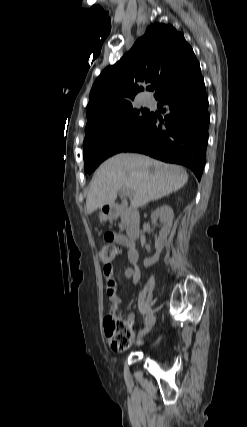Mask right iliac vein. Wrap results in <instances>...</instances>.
<instances>
[{"instance_id": "obj_1", "label": "right iliac vein", "mask_w": 247, "mask_h": 427, "mask_svg": "<svg viewBox=\"0 0 247 427\" xmlns=\"http://www.w3.org/2000/svg\"><path fill=\"white\" fill-rule=\"evenodd\" d=\"M155 321H156V317H155V315L152 314L150 316V318L148 319V321L146 322L142 331L139 333L138 337L141 338V337L145 336L152 329V327L155 324Z\"/></svg>"}]
</instances>
